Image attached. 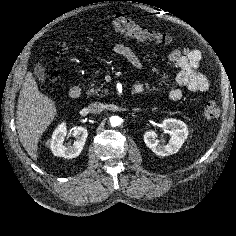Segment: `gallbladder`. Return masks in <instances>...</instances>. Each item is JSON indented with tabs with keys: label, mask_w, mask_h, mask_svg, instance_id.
Listing matches in <instances>:
<instances>
[{
	"label": "gallbladder",
	"mask_w": 236,
	"mask_h": 236,
	"mask_svg": "<svg viewBox=\"0 0 236 236\" xmlns=\"http://www.w3.org/2000/svg\"><path fill=\"white\" fill-rule=\"evenodd\" d=\"M34 74L36 76V78L44 83L45 82V68L43 67V65L41 63H37L35 69H34Z\"/></svg>",
	"instance_id": "obj_1"
}]
</instances>
